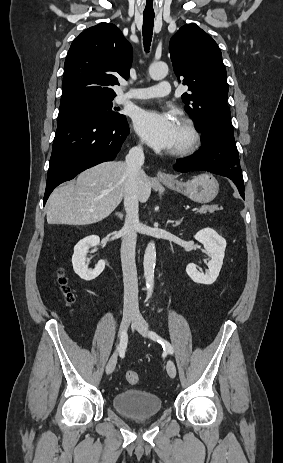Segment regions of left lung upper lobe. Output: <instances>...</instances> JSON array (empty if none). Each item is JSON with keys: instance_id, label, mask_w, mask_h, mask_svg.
<instances>
[{"instance_id": "1", "label": "left lung upper lobe", "mask_w": 283, "mask_h": 463, "mask_svg": "<svg viewBox=\"0 0 283 463\" xmlns=\"http://www.w3.org/2000/svg\"><path fill=\"white\" fill-rule=\"evenodd\" d=\"M174 72L189 93L182 95L185 110L195 119L202 139H218L236 147L227 105L226 69L217 43L196 24L182 26L171 38Z\"/></svg>"}]
</instances>
